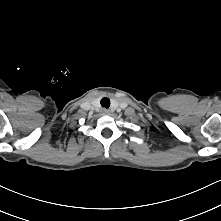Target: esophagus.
I'll return each instance as SVG.
<instances>
[{
  "label": "esophagus",
  "instance_id": "34e87169",
  "mask_svg": "<svg viewBox=\"0 0 221 221\" xmlns=\"http://www.w3.org/2000/svg\"><path fill=\"white\" fill-rule=\"evenodd\" d=\"M102 114L108 115V114H109V110H107V109H102Z\"/></svg>",
  "mask_w": 221,
  "mask_h": 221
}]
</instances>
